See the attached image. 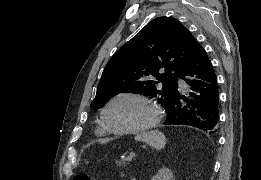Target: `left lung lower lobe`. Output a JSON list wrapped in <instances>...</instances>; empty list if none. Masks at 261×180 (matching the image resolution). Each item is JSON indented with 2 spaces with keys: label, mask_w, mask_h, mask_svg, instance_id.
I'll list each match as a JSON object with an SVG mask.
<instances>
[{
  "label": "left lung lower lobe",
  "mask_w": 261,
  "mask_h": 180,
  "mask_svg": "<svg viewBox=\"0 0 261 180\" xmlns=\"http://www.w3.org/2000/svg\"><path fill=\"white\" fill-rule=\"evenodd\" d=\"M180 78L189 90L182 94L176 84L175 95L165 107L167 117L164 124L194 126L214 134L219 122L217 77L206 51L199 44Z\"/></svg>",
  "instance_id": "obj_1"
}]
</instances>
